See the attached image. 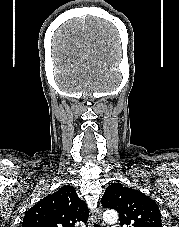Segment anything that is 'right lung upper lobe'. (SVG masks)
<instances>
[{"label": "right lung upper lobe", "instance_id": "right-lung-upper-lobe-1", "mask_svg": "<svg viewBox=\"0 0 179 227\" xmlns=\"http://www.w3.org/2000/svg\"><path fill=\"white\" fill-rule=\"evenodd\" d=\"M89 210L86 203L67 185L41 199L30 208L22 227H74L76 222H86Z\"/></svg>", "mask_w": 179, "mask_h": 227}]
</instances>
